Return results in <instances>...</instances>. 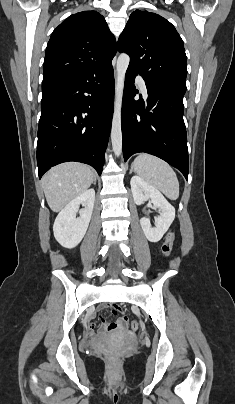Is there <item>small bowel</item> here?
<instances>
[{"instance_id":"obj_1","label":"small bowel","mask_w":235,"mask_h":404,"mask_svg":"<svg viewBox=\"0 0 235 404\" xmlns=\"http://www.w3.org/2000/svg\"><path fill=\"white\" fill-rule=\"evenodd\" d=\"M102 311V308H100V309H98V311L97 312H92L91 314H90V318H92V317H94L95 315H96V313H100ZM121 327H116V328H114L113 330H118V329H120ZM88 332V334L89 335H92L93 333H94V327H93V325H88V330H87Z\"/></svg>"}]
</instances>
